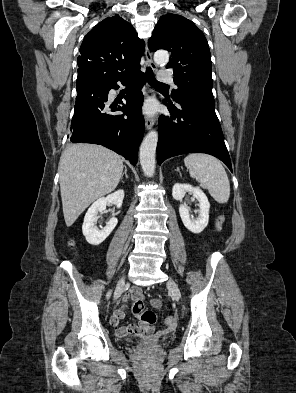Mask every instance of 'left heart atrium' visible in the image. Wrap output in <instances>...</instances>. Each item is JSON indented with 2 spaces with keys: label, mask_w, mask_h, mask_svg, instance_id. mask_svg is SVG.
<instances>
[{
  "label": "left heart atrium",
  "mask_w": 296,
  "mask_h": 393,
  "mask_svg": "<svg viewBox=\"0 0 296 393\" xmlns=\"http://www.w3.org/2000/svg\"><path fill=\"white\" fill-rule=\"evenodd\" d=\"M156 110V106L153 102H148L144 106V112L147 114H153Z\"/></svg>",
  "instance_id": "obj_1"
}]
</instances>
